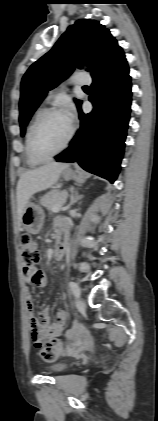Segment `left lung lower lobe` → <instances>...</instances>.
<instances>
[{"label":"left lung lower lobe","mask_w":158,"mask_h":421,"mask_svg":"<svg viewBox=\"0 0 158 421\" xmlns=\"http://www.w3.org/2000/svg\"><path fill=\"white\" fill-rule=\"evenodd\" d=\"M92 77L89 100L94 109L84 114L79 108L80 128L69 148L55 159L77 162L113 183L120 170L131 105V78L122 48Z\"/></svg>","instance_id":"left-lung-lower-lobe-1"}]
</instances>
